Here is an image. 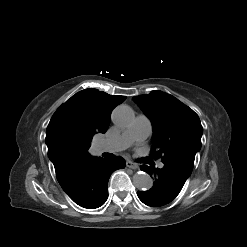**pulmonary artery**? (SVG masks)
<instances>
[{
	"label": "pulmonary artery",
	"mask_w": 247,
	"mask_h": 247,
	"mask_svg": "<svg viewBox=\"0 0 247 247\" xmlns=\"http://www.w3.org/2000/svg\"><path fill=\"white\" fill-rule=\"evenodd\" d=\"M152 124L150 119L140 114L136 117L132 125L126 129L119 137L106 140L100 145L102 152H118L128 148L131 144L141 143L150 135ZM158 168H163L164 164L159 162Z\"/></svg>",
	"instance_id": "e3ab8cb5"
}]
</instances>
